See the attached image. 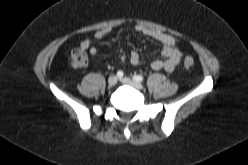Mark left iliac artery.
Returning <instances> with one entry per match:
<instances>
[{
    "label": "left iliac artery",
    "mask_w": 248,
    "mask_h": 165,
    "mask_svg": "<svg viewBox=\"0 0 248 165\" xmlns=\"http://www.w3.org/2000/svg\"><path fill=\"white\" fill-rule=\"evenodd\" d=\"M133 79L135 80V81H137V82H141V81H143V76H141V75H134L133 76Z\"/></svg>",
    "instance_id": "obj_1"
}]
</instances>
